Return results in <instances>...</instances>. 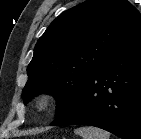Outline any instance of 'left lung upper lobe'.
Segmentation results:
<instances>
[{
	"label": "left lung upper lobe",
	"instance_id": "obj_1",
	"mask_svg": "<svg viewBox=\"0 0 141 139\" xmlns=\"http://www.w3.org/2000/svg\"><path fill=\"white\" fill-rule=\"evenodd\" d=\"M141 30V14L127 0H87L59 15L37 41L27 67L25 103L41 93L56 97L58 117L88 75Z\"/></svg>",
	"mask_w": 141,
	"mask_h": 139
}]
</instances>
